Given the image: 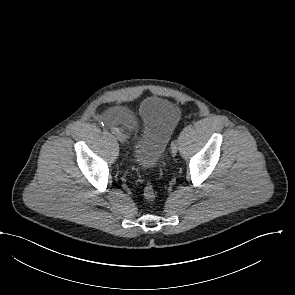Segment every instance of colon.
<instances>
[{"mask_svg": "<svg viewBox=\"0 0 295 295\" xmlns=\"http://www.w3.org/2000/svg\"><path fill=\"white\" fill-rule=\"evenodd\" d=\"M143 195L146 200L153 201L156 198V192L151 184H147L143 190Z\"/></svg>", "mask_w": 295, "mask_h": 295, "instance_id": "colon-1", "label": "colon"}]
</instances>
